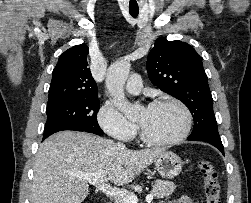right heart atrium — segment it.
<instances>
[{
    "instance_id": "1",
    "label": "right heart atrium",
    "mask_w": 251,
    "mask_h": 203,
    "mask_svg": "<svg viewBox=\"0 0 251 203\" xmlns=\"http://www.w3.org/2000/svg\"><path fill=\"white\" fill-rule=\"evenodd\" d=\"M97 120L103 131L119 141H129L136 133V125L129 122L111 104H103L97 114Z\"/></svg>"
}]
</instances>
